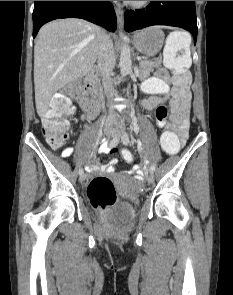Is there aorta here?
I'll return each instance as SVG.
<instances>
[{
	"label": "aorta",
	"mask_w": 233,
	"mask_h": 295,
	"mask_svg": "<svg viewBox=\"0 0 233 295\" xmlns=\"http://www.w3.org/2000/svg\"><path fill=\"white\" fill-rule=\"evenodd\" d=\"M120 38L126 40V37L122 33H120ZM119 66L122 76L128 75L132 70L130 48L127 44H123L121 48Z\"/></svg>",
	"instance_id": "762f6f07"
}]
</instances>
